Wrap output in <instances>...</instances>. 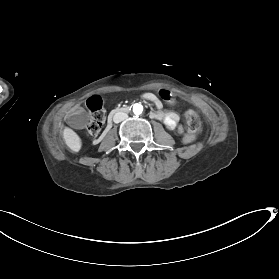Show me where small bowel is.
<instances>
[{
    "label": "small bowel",
    "mask_w": 279,
    "mask_h": 279,
    "mask_svg": "<svg viewBox=\"0 0 279 279\" xmlns=\"http://www.w3.org/2000/svg\"><path fill=\"white\" fill-rule=\"evenodd\" d=\"M159 94H160V97L163 100H165L166 102L174 103V100H175L174 96L169 90L161 89L159 91ZM144 97L147 100L151 101L156 107V111H154L152 113V117H154L156 119L167 121L169 123L170 122H176L178 120V116L174 112L163 110V104H162V101L159 97H157L156 95H154L152 93H146L144 95ZM177 130L179 132L182 131V127L179 124H177Z\"/></svg>",
    "instance_id": "c3829d8e"
}]
</instances>
